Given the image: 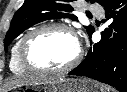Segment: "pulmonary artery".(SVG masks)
<instances>
[{
    "label": "pulmonary artery",
    "mask_w": 127,
    "mask_h": 92,
    "mask_svg": "<svg viewBox=\"0 0 127 92\" xmlns=\"http://www.w3.org/2000/svg\"><path fill=\"white\" fill-rule=\"evenodd\" d=\"M90 10L96 14V15H101L102 14V10L100 8H97V7H90Z\"/></svg>",
    "instance_id": "obj_1"
}]
</instances>
